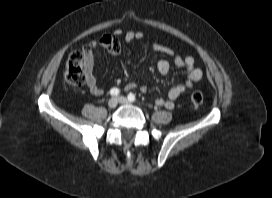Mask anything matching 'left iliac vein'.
<instances>
[{"mask_svg": "<svg viewBox=\"0 0 272 198\" xmlns=\"http://www.w3.org/2000/svg\"><path fill=\"white\" fill-rule=\"evenodd\" d=\"M117 100H118L119 103H121V104H129L128 99L125 98V97H123V96H119V97L117 98Z\"/></svg>", "mask_w": 272, "mask_h": 198, "instance_id": "1", "label": "left iliac vein"}]
</instances>
